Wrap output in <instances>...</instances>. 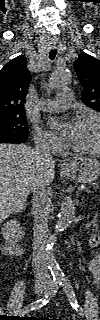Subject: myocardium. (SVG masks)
<instances>
[{"mask_svg":"<svg viewBox=\"0 0 100 320\" xmlns=\"http://www.w3.org/2000/svg\"><path fill=\"white\" fill-rule=\"evenodd\" d=\"M84 121H95L98 125V140H97L96 146L91 149H83V148H78L72 144H67V147H69L70 150L79 154L95 155L100 152V117L96 114L89 113V114L82 115L78 120V122H84Z\"/></svg>","mask_w":100,"mask_h":320,"instance_id":"1","label":"myocardium"}]
</instances>
